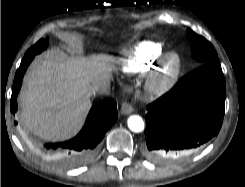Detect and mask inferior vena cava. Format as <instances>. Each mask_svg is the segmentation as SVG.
I'll list each match as a JSON object with an SVG mask.
<instances>
[{
  "mask_svg": "<svg viewBox=\"0 0 245 187\" xmlns=\"http://www.w3.org/2000/svg\"><path fill=\"white\" fill-rule=\"evenodd\" d=\"M109 95L110 94V82L107 80L96 82L91 88L92 94Z\"/></svg>",
  "mask_w": 245,
  "mask_h": 187,
  "instance_id": "inferior-vena-cava-1",
  "label": "inferior vena cava"
}]
</instances>
